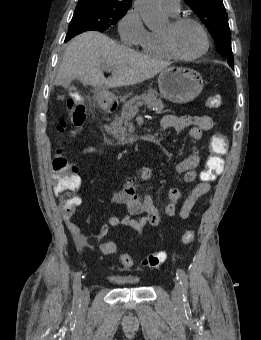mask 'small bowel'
Masks as SVG:
<instances>
[{"label": "small bowel", "mask_w": 261, "mask_h": 340, "mask_svg": "<svg viewBox=\"0 0 261 340\" xmlns=\"http://www.w3.org/2000/svg\"><path fill=\"white\" fill-rule=\"evenodd\" d=\"M214 126L213 119L208 115H185L174 116L166 115L161 120V129H173L176 133L181 132L185 128H189L188 134L195 140H199L204 132L210 131ZM100 150L88 146L81 150L82 154L96 153ZM201 157L196 147H193L191 154L178 161L175 164V171L182 176L185 183H192L200 177L197 171L200 165ZM137 174L143 181H147L152 176V169L143 166L137 170ZM80 180V177L77 176ZM209 183H198L191 193L184 200L179 216L187 219L199 199L210 190ZM182 198V193L178 188H172L167 195V203L162 212L153 202L152 196L149 194H141L138 190L137 183L134 177L126 178L122 190L113 198L115 204L126 206L127 214L123 217L111 216L107 223L101 226L99 231L94 235L96 239L104 238L110 227L125 226L136 232H142L148 226H157L162 220L163 213L168 217H173L177 213V207ZM80 204V201H79ZM78 204V205H79ZM64 222L71 232L74 241L78 248L85 250L91 247L86 234L81 228L76 225L71 215H64Z\"/></svg>", "instance_id": "1"}]
</instances>
